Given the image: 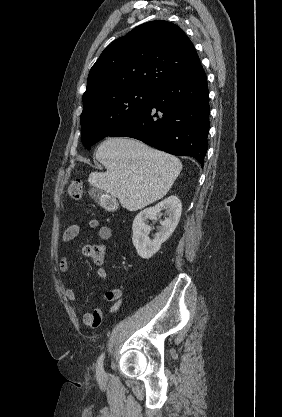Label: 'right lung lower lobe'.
I'll use <instances>...</instances> for the list:
<instances>
[{
    "label": "right lung lower lobe",
    "mask_w": 282,
    "mask_h": 417,
    "mask_svg": "<svg viewBox=\"0 0 282 417\" xmlns=\"http://www.w3.org/2000/svg\"><path fill=\"white\" fill-rule=\"evenodd\" d=\"M208 86L203 67L178 75L156 89L150 102L109 136L132 137L203 167L209 132Z\"/></svg>",
    "instance_id": "98d812e1"
}]
</instances>
